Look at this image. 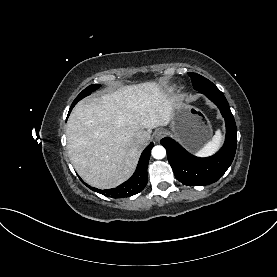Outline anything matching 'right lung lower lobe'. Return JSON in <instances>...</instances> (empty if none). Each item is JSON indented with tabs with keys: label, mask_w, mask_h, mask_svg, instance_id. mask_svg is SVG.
<instances>
[{
	"label": "right lung lower lobe",
	"mask_w": 277,
	"mask_h": 277,
	"mask_svg": "<svg viewBox=\"0 0 277 277\" xmlns=\"http://www.w3.org/2000/svg\"><path fill=\"white\" fill-rule=\"evenodd\" d=\"M153 146L154 144L150 143V145L143 151L135 173L123 184L117 186L116 188L106 190L97 189L88 185L87 186L93 191L112 198L129 197L141 192L148 182L147 167L150 158V152Z\"/></svg>",
	"instance_id": "1"
}]
</instances>
